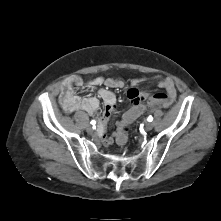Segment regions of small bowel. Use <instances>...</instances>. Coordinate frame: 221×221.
Returning a JSON list of instances; mask_svg holds the SVG:
<instances>
[{
    "mask_svg": "<svg viewBox=\"0 0 221 221\" xmlns=\"http://www.w3.org/2000/svg\"><path fill=\"white\" fill-rule=\"evenodd\" d=\"M142 81L143 79L134 78L132 79L131 83L133 86H138L141 84ZM73 84L82 85V80L79 77H75L67 82L65 89L61 93V103L64 109L70 112L75 110H83L89 115L96 117L98 115L100 106L98 98L95 96H88L84 98L79 97L75 93V88L73 87ZM86 86L90 89L101 87L99 89V97L104 103V111L99 118L97 134L103 144L110 145L113 143L117 132H115L114 137L108 136L106 133L107 123L115 110L117 102L116 95L113 91H111V89L122 88L124 86V82L114 77H96L88 81L86 83ZM158 86L165 89L166 94L163 95L170 99L171 104V102L176 98L177 95V90L173 79L170 77L159 78ZM127 95L132 107L139 102H142V100L145 99V95L147 94L139 92L137 89L132 88L128 91Z\"/></svg>",
    "mask_w": 221,
    "mask_h": 221,
    "instance_id": "1",
    "label": "small bowel"
}]
</instances>
